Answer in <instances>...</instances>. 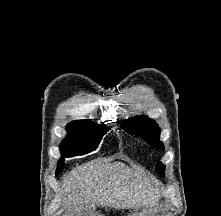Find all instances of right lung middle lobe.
<instances>
[{
  "label": "right lung middle lobe",
  "instance_id": "right-lung-middle-lobe-1",
  "mask_svg": "<svg viewBox=\"0 0 221 216\" xmlns=\"http://www.w3.org/2000/svg\"><path fill=\"white\" fill-rule=\"evenodd\" d=\"M67 137L60 146L61 159L58 161L56 175L64 168L65 159L84 155L97 149L102 137L107 132L105 124H96L91 121H73L66 126Z\"/></svg>",
  "mask_w": 221,
  "mask_h": 216
}]
</instances>
